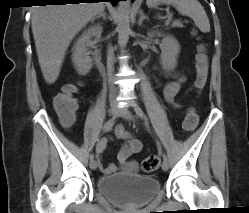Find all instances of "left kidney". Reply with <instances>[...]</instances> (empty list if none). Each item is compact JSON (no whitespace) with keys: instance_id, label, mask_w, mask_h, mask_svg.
<instances>
[{"instance_id":"left-kidney-1","label":"left kidney","mask_w":249,"mask_h":213,"mask_svg":"<svg viewBox=\"0 0 249 213\" xmlns=\"http://www.w3.org/2000/svg\"><path fill=\"white\" fill-rule=\"evenodd\" d=\"M150 37L155 35L162 36V42L160 44L161 55L160 63L163 69H175L177 66V57L180 52V45L178 41L171 35H163L160 32H150L148 33Z\"/></svg>"}]
</instances>
